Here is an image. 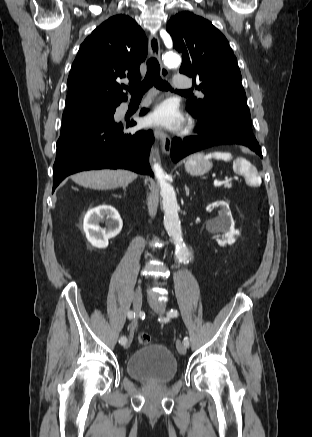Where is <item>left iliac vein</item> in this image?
I'll list each match as a JSON object with an SVG mask.
<instances>
[{"label": "left iliac vein", "mask_w": 312, "mask_h": 437, "mask_svg": "<svg viewBox=\"0 0 312 437\" xmlns=\"http://www.w3.org/2000/svg\"><path fill=\"white\" fill-rule=\"evenodd\" d=\"M149 304L152 309L159 315H163L165 312V305L158 301V299H149ZM177 350L181 355L186 354V346L181 341H177Z\"/></svg>", "instance_id": "obj_1"}]
</instances>
